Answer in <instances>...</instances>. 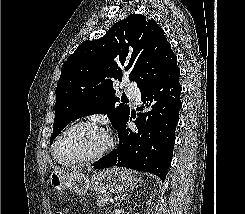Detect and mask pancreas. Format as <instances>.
<instances>
[{
    "label": "pancreas",
    "instance_id": "cf45deb5",
    "mask_svg": "<svg viewBox=\"0 0 245 214\" xmlns=\"http://www.w3.org/2000/svg\"><path fill=\"white\" fill-rule=\"evenodd\" d=\"M109 195L106 193L98 194L96 196V204L99 206H104L108 204Z\"/></svg>",
    "mask_w": 245,
    "mask_h": 214
}]
</instances>
